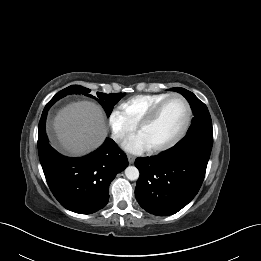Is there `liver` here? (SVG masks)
<instances>
[{
	"instance_id": "1",
	"label": "liver",
	"mask_w": 261,
	"mask_h": 261,
	"mask_svg": "<svg viewBox=\"0 0 261 261\" xmlns=\"http://www.w3.org/2000/svg\"><path fill=\"white\" fill-rule=\"evenodd\" d=\"M53 126L63 148L75 156L93 151L107 136L101 108L89 101L72 103L61 109Z\"/></svg>"
}]
</instances>
